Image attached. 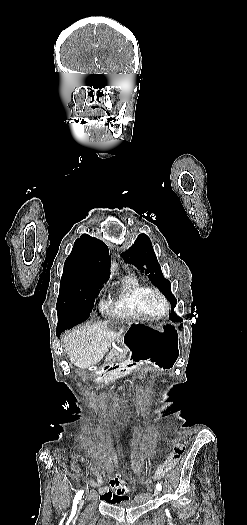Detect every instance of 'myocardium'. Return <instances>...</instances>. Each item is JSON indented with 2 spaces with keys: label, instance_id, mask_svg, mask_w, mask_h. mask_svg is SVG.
Returning a JSON list of instances; mask_svg holds the SVG:
<instances>
[{
  "label": "myocardium",
  "instance_id": "1",
  "mask_svg": "<svg viewBox=\"0 0 247 525\" xmlns=\"http://www.w3.org/2000/svg\"><path fill=\"white\" fill-rule=\"evenodd\" d=\"M141 294L146 300V310L152 318H161L168 314L170 310V303L165 294L157 287L154 286H143L141 288ZM157 296L163 302V308L161 310H155L150 305V299Z\"/></svg>",
  "mask_w": 247,
  "mask_h": 525
}]
</instances>
